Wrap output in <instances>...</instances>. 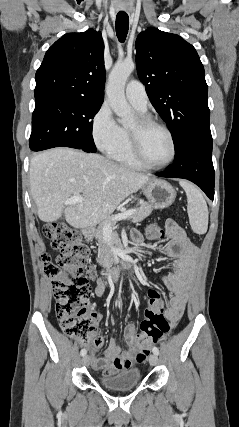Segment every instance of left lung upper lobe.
Returning <instances> with one entry per match:
<instances>
[{"mask_svg": "<svg viewBox=\"0 0 239 427\" xmlns=\"http://www.w3.org/2000/svg\"><path fill=\"white\" fill-rule=\"evenodd\" d=\"M136 62L147 95L172 134L175 153L192 139L211 137L208 86L195 48L150 27L136 39Z\"/></svg>", "mask_w": 239, "mask_h": 427, "instance_id": "5c2ea615", "label": "left lung upper lobe"}]
</instances>
